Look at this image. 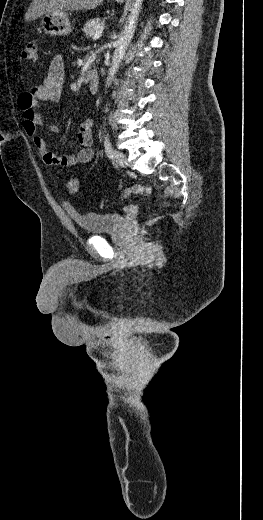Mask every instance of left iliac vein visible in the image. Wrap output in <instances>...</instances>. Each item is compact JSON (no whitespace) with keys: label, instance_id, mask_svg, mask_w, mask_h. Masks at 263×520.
<instances>
[{"label":"left iliac vein","instance_id":"left-iliac-vein-1","mask_svg":"<svg viewBox=\"0 0 263 520\" xmlns=\"http://www.w3.org/2000/svg\"><path fill=\"white\" fill-rule=\"evenodd\" d=\"M112 157L119 166L127 167L128 161H127V157L124 153H122L118 150H112Z\"/></svg>","mask_w":263,"mask_h":520}]
</instances>
